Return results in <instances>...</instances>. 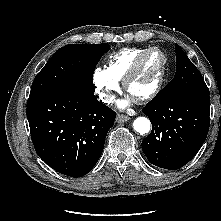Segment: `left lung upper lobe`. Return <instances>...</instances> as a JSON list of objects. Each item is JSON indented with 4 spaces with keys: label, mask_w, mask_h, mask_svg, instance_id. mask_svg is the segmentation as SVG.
Segmentation results:
<instances>
[{
    "label": "left lung upper lobe",
    "mask_w": 221,
    "mask_h": 221,
    "mask_svg": "<svg viewBox=\"0 0 221 221\" xmlns=\"http://www.w3.org/2000/svg\"><path fill=\"white\" fill-rule=\"evenodd\" d=\"M176 66V73L172 81L153 100L185 94L209 95V90L201 73L177 44Z\"/></svg>",
    "instance_id": "5c2ea615"
}]
</instances>
